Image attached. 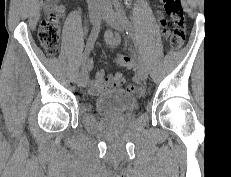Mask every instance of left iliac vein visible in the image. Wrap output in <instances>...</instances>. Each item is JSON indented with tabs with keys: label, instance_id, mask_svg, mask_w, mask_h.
Instances as JSON below:
<instances>
[{
	"label": "left iliac vein",
	"instance_id": "1",
	"mask_svg": "<svg viewBox=\"0 0 231 177\" xmlns=\"http://www.w3.org/2000/svg\"><path fill=\"white\" fill-rule=\"evenodd\" d=\"M102 16L106 20V22L115 30L119 32L125 31L126 27L123 21V17L121 15L113 13H103ZM138 72L141 80H146L148 78V73L144 65H140Z\"/></svg>",
	"mask_w": 231,
	"mask_h": 177
}]
</instances>
